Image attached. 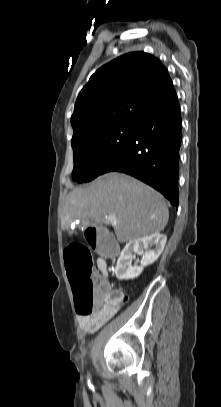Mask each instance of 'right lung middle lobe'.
<instances>
[{"instance_id":"1","label":"right lung middle lobe","mask_w":221,"mask_h":407,"mask_svg":"<svg viewBox=\"0 0 221 407\" xmlns=\"http://www.w3.org/2000/svg\"><path fill=\"white\" fill-rule=\"evenodd\" d=\"M135 124L111 126L84 136L72 144L74 168L72 179L88 182L103 170L129 142Z\"/></svg>"}]
</instances>
